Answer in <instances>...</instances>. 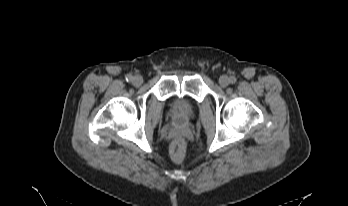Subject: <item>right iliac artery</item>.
Wrapping results in <instances>:
<instances>
[{"label": "right iliac artery", "instance_id": "1", "mask_svg": "<svg viewBox=\"0 0 348 206\" xmlns=\"http://www.w3.org/2000/svg\"><path fill=\"white\" fill-rule=\"evenodd\" d=\"M125 79H126L127 82H131L132 79H133V77H132V75H127V76L125 77Z\"/></svg>", "mask_w": 348, "mask_h": 206}]
</instances>
